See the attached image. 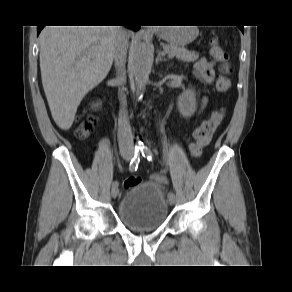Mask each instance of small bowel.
<instances>
[{
  "mask_svg": "<svg viewBox=\"0 0 292 292\" xmlns=\"http://www.w3.org/2000/svg\"><path fill=\"white\" fill-rule=\"evenodd\" d=\"M194 76L203 83H211L215 76V63L207 60L206 58L199 59L193 68ZM203 104L206 103V99H203ZM152 179L158 184H166L167 180L163 175L154 174Z\"/></svg>",
  "mask_w": 292,
  "mask_h": 292,
  "instance_id": "1",
  "label": "small bowel"
}]
</instances>
